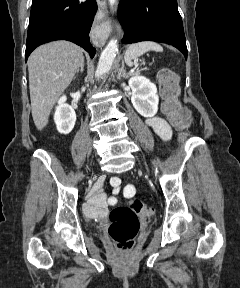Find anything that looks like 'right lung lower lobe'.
<instances>
[{
	"label": "right lung lower lobe",
	"instance_id": "1",
	"mask_svg": "<svg viewBox=\"0 0 240 288\" xmlns=\"http://www.w3.org/2000/svg\"><path fill=\"white\" fill-rule=\"evenodd\" d=\"M96 11L95 0H33L25 60L36 47L54 40L74 42L93 58L96 50L89 32Z\"/></svg>",
	"mask_w": 240,
	"mask_h": 288
}]
</instances>
